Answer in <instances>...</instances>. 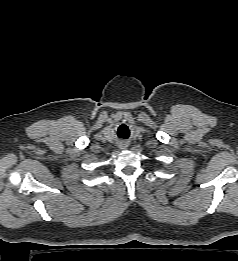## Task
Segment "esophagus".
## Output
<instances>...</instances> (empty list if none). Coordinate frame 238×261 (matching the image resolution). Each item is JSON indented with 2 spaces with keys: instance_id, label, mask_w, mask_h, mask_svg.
I'll use <instances>...</instances> for the list:
<instances>
[{
  "instance_id": "esophagus-1",
  "label": "esophagus",
  "mask_w": 238,
  "mask_h": 261,
  "mask_svg": "<svg viewBox=\"0 0 238 261\" xmlns=\"http://www.w3.org/2000/svg\"><path fill=\"white\" fill-rule=\"evenodd\" d=\"M126 147H127L126 145L120 146L121 149H125Z\"/></svg>"
}]
</instances>
